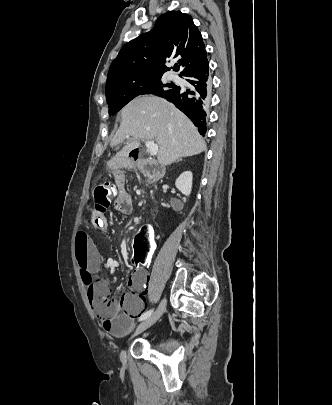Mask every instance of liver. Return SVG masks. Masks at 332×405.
Masks as SVG:
<instances>
[{"label": "liver", "instance_id": "6515ba94", "mask_svg": "<svg viewBox=\"0 0 332 405\" xmlns=\"http://www.w3.org/2000/svg\"><path fill=\"white\" fill-rule=\"evenodd\" d=\"M121 118L111 145L129 141L117 154L118 159L125 160L140 141L157 143V159L164 166L206 150L203 138L189 118L162 98H137L121 110Z\"/></svg>", "mask_w": 332, "mask_h": 405}]
</instances>
